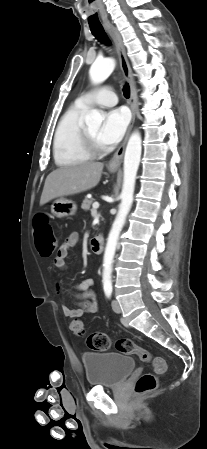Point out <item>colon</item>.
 I'll return each instance as SVG.
<instances>
[{"mask_svg":"<svg viewBox=\"0 0 207 449\" xmlns=\"http://www.w3.org/2000/svg\"><path fill=\"white\" fill-rule=\"evenodd\" d=\"M34 240L38 253L42 257H50L56 246L57 240L50 224L40 215L36 216L34 224ZM70 332L78 337L85 335L83 322L79 318H72L69 322ZM87 345L95 351H106L110 348V339L107 334L97 332L91 333L87 337ZM115 348L119 353L125 355H135L141 361L151 363L154 373H145L139 377L135 383V392L143 395L153 391L156 388L157 375H163L167 371L165 360L159 356L136 345L130 339H119L115 342Z\"/></svg>","mask_w":207,"mask_h":449,"instance_id":"1","label":"colon"}]
</instances>
